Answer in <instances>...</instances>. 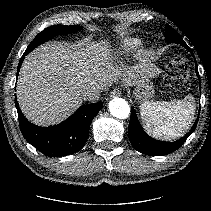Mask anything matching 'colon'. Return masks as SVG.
Instances as JSON below:
<instances>
[{
    "instance_id": "colon-1",
    "label": "colon",
    "mask_w": 211,
    "mask_h": 211,
    "mask_svg": "<svg viewBox=\"0 0 211 211\" xmlns=\"http://www.w3.org/2000/svg\"><path fill=\"white\" fill-rule=\"evenodd\" d=\"M165 82L177 92L189 89L188 63L183 55L177 54L170 60Z\"/></svg>"
}]
</instances>
